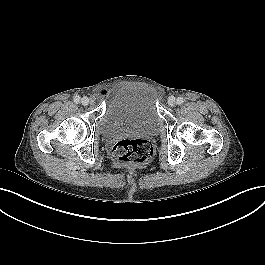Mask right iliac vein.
<instances>
[{
  "mask_svg": "<svg viewBox=\"0 0 265 265\" xmlns=\"http://www.w3.org/2000/svg\"><path fill=\"white\" fill-rule=\"evenodd\" d=\"M90 99L88 98V97H83L82 99H81V103L84 105V106H87V105H89L90 104Z\"/></svg>",
  "mask_w": 265,
  "mask_h": 265,
  "instance_id": "1",
  "label": "right iliac vein"
}]
</instances>
